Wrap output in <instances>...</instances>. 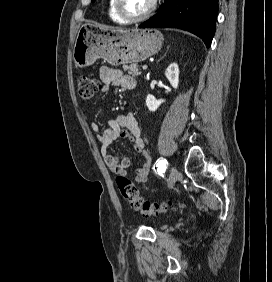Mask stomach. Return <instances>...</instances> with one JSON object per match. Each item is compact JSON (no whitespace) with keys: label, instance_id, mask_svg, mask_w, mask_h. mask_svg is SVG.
Listing matches in <instances>:
<instances>
[{"label":"stomach","instance_id":"obj_1","mask_svg":"<svg viewBox=\"0 0 272 282\" xmlns=\"http://www.w3.org/2000/svg\"><path fill=\"white\" fill-rule=\"evenodd\" d=\"M162 43L163 35L155 29L122 30L85 24L76 37L72 58L78 68L92 65L99 58L114 66L137 63L156 54Z\"/></svg>","mask_w":272,"mask_h":282}]
</instances>
